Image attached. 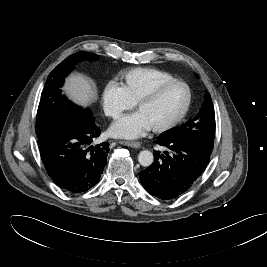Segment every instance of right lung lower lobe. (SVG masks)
Here are the masks:
<instances>
[{
	"mask_svg": "<svg viewBox=\"0 0 267 267\" xmlns=\"http://www.w3.org/2000/svg\"><path fill=\"white\" fill-rule=\"evenodd\" d=\"M100 134L93 119L75 127L60 124L39 142L48 175L64 191L86 192L99 182L109 152L108 142L96 144Z\"/></svg>",
	"mask_w": 267,
	"mask_h": 267,
	"instance_id": "98d812e1",
	"label": "right lung lower lobe"
}]
</instances>
